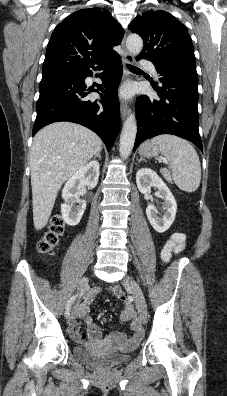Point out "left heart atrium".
I'll use <instances>...</instances> for the list:
<instances>
[{"label": "left heart atrium", "mask_w": 227, "mask_h": 396, "mask_svg": "<svg viewBox=\"0 0 227 396\" xmlns=\"http://www.w3.org/2000/svg\"><path fill=\"white\" fill-rule=\"evenodd\" d=\"M121 94H122V96H124V97H128V96H130V94H131V89L128 88V87H126V88H124V89L122 90Z\"/></svg>", "instance_id": "obj_1"}]
</instances>
